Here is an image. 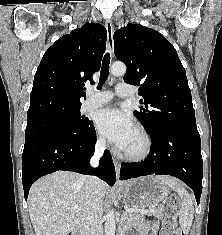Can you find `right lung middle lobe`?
Instances as JSON below:
<instances>
[{
	"label": "right lung middle lobe",
	"mask_w": 222,
	"mask_h": 235,
	"mask_svg": "<svg viewBox=\"0 0 222 235\" xmlns=\"http://www.w3.org/2000/svg\"><path fill=\"white\" fill-rule=\"evenodd\" d=\"M80 107L81 104L68 105L27 117L25 144L51 135L73 136L86 129L91 120L80 116Z\"/></svg>",
	"instance_id": "obj_1"
}]
</instances>
